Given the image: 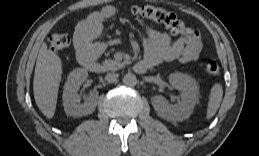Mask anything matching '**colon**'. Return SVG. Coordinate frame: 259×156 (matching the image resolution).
Segmentation results:
<instances>
[{"label":"colon","mask_w":259,"mask_h":156,"mask_svg":"<svg viewBox=\"0 0 259 156\" xmlns=\"http://www.w3.org/2000/svg\"><path fill=\"white\" fill-rule=\"evenodd\" d=\"M132 12L156 23L165 25L173 34L181 35L185 39H190L193 36V30L186 27L173 11L152 5H141L133 7ZM70 42L71 38L66 33L55 32L49 36V44L54 51H61L67 48ZM205 71L209 76L217 75L219 72L217 61H208L205 65Z\"/></svg>","instance_id":"obj_1"}]
</instances>
